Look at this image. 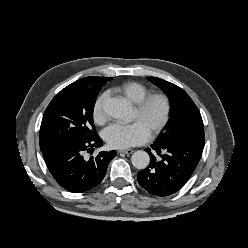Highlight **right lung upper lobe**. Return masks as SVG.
I'll return each instance as SVG.
<instances>
[{
    "mask_svg": "<svg viewBox=\"0 0 248 248\" xmlns=\"http://www.w3.org/2000/svg\"><path fill=\"white\" fill-rule=\"evenodd\" d=\"M112 78L108 77H86L80 80L75 81L74 83L70 84L69 86L81 87V88H88L93 89L98 86H103L106 84L107 81L111 80Z\"/></svg>",
    "mask_w": 248,
    "mask_h": 248,
    "instance_id": "right-lung-upper-lobe-1",
    "label": "right lung upper lobe"
}]
</instances>
